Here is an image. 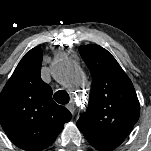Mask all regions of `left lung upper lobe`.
Segmentation results:
<instances>
[{
  "label": "left lung upper lobe",
  "instance_id": "left-lung-upper-lobe-1",
  "mask_svg": "<svg viewBox=\"0 0 151 151\" xmlns=\"http://www.w3.org/2000/svg\"><path fill=\"white\" fill-rule=\"evenodd\" d=\"M92 75L89 106L77 121L85 138L124 141L140 115L133 84L115 58L99 45L80 46Z\"/></svg>",
  "mask_w": 151,
  "mask_h": 151
}]
</instances>
